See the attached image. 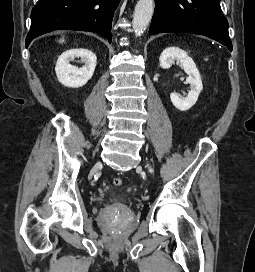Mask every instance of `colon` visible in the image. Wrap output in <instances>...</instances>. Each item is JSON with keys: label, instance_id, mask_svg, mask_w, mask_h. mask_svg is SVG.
<instances>
[{"label": "colon", "instance_id": "1", "mask_svg": "<svg viewBox=\"0 0 255 272\" xmlns=\"http://www.w3.org/2000/svg\"><path fill=\"white\" fill-rule=\"evenodd\" d=\"M112 183L114 186L119 187L122 185V179L119 177H116L113 179Z\"/></svg>", "mask_w": 255, "mask_h": 272}]
</instances>
